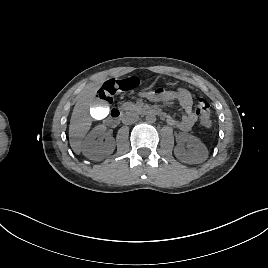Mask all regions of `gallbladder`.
I'll return each instance as SVG.
<instances>
[{"label":"gallbladder","instance_id":"bac80fb5","mask_svg":"<svg viewBox=\"0 0 268 268\" xmlns=\"http://www.w3.org/2000/svg\"><path fill=\"white\" fill-rule=\"evenodd\" d=\"M89 114L98 121L104 120L109 112L108 106L102 101H93L88 108Z\"/></svg>","mask_w":268,"mask_h":268}]
</instances>
